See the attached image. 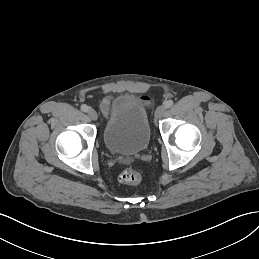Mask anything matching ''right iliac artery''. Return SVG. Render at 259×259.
<instances>
[{"label": "right iliac artery", "instance_id": "82829eb1", "mask_svg": "<svg viewBox=\"0 0 259 259\" xmlns=\"http://www.w3.org/2000/svg\"><path fill=\"white\" fill-rule=\"evenodd\" d=\"M88 109H89V107H88L86 104L81 105V110H82L83 112H87Z\"/></svg>", "mask_w": 259, "mask_h": 259}]
</instances>
